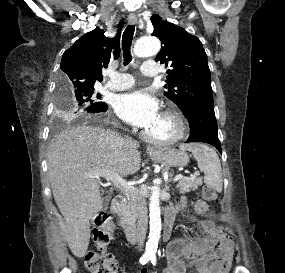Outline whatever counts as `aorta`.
<instances>
[{
  "label": "aorta",
  "instance_id": "aorta-1",
  "mask_svg": "<svg viewBox=\"0 0 285 273\" xmlns=\"http://www.w3.org/2000/svg\"><path fill=\"white\" fill-rule=\"evenodd\" d=\"M161 48L160 41L155 37H142L135 46L134 53L138 57H150L156 55ZM152 194L149 202V216H150V232L149 239L146 243V254L155 255L158 248V242L161 232V217H160V187L159 179L154 181L152 187Z\"/></svg>",
  "mask_w": 285,
  "mask_h": 273
}]
</instances>
